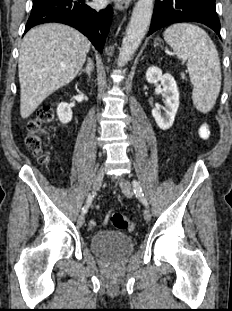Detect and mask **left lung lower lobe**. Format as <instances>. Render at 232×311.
<instances>
[{"label":"left lung lower lobe","mask_w":232,"mask_h":311,"mask_svg":"<svg viewBox=\"0 0 232 311\" xmlns=\"http://www.w3.org/2000/svg\"><path fill=\"white\" fill-rule=\"evenodd\" d=\"M178 22L203 23L221 37L215 0H156L148 35Z\"/></svg>","instance_id":"0a47b994"}]
</instances>
